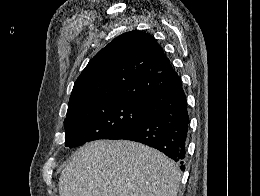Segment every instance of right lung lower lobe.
<instances>
[{
  "label": "right lung lower lobe",
  "instance_id": "right-lung-lower-lobe-1",
  "mask_svg": "<svg viewBox=\"0 0 260 196\" xmlns=\"http://www.w3.org/2000/svg\"><path fill=\"white\" fill-rule=\"evenodd\" d=\"M148 118L115 137L146 144L163 152L185 170L189 115L181 79L139 102Z\"/></svg>",
  "mask_w": 260,
  "mask_h": 196
}]
</instances>
